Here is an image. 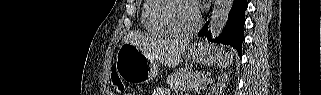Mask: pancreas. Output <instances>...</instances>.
I'll use <instances>...</instances> for the list:
<instances>
[{"label": "pancreas", "mask_w": 321, "mask_h": 95, "mask_svg": "<svg viewBox=\"0 0 321 95\" xmlns=\"http://www.w3.org/2000/svg\"><path fill=\"white\" fill-rule=\"evenodd\" d=\"M211 81L206 79L201 74L190 73L186 70H178L171 74L167 83L172 90H201L206 89V85Z\"/></svg>", "instance_id": "cf45deb5"}]
</instances>
